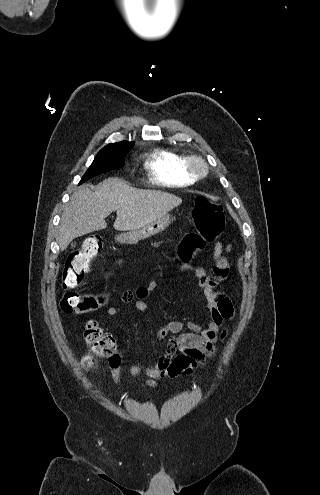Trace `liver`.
Instances as JSON below:
<instances>
[{
    "mask_svg": "<svg viewBox=\"0 0 320 495\" xmlns=\"http://www.w3.org/2000/svg\"><path fill=\"white\" fill-rule=\"evenodd\" d=\"M181 203L175 195L132 188L119 178L104 180L95 189L83 185L73 193L61 216L60 249L77 237L105 229V219L113 211L117 212L114 229L129 231L155 221Z\"/></svg>",
    "mask_w": 320,
    "mask_h": 495,
    "instance_id": "6515ba94",
    "label": "liver"
}]
</instances>
